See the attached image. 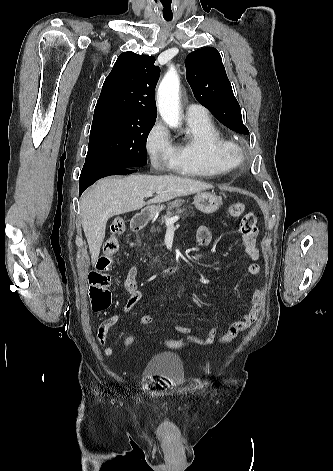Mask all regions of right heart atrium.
Wrapping results in <instances>:
<instances>
[{"instance_id": "right-heart-atrium-1", "label": "right heart atrium", "mask_w": 333, "mask_h": 471, "mask_svg": "<svg viewBox=\"0 0 333 471\" xmlns=\"http://www.w3.org/2000/svg\"><path fill=\"white\" fill-rule=\"evenodd\" d=\"M145 149L154 167L162 168L170 162L173 143L168 129L161 121L157 120L148 131Z\"/></svg>"}]
</instances>
